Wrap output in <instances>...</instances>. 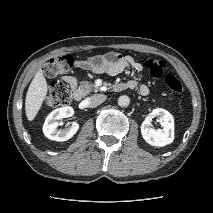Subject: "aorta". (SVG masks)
<instances>
[{
    "label": "aorta",
    "mask_w": 213,
    "mask_h": 213,
    "mask_svg": "<svg viewBox=\"0 0 213 213\" xmlns=\"http://www.w3.org/2000/svg\"><path fill=\"white\" fill-rule=\"evenodd\" d=\"M130 104V98L126 95H122L118 98V105L120 107H127Z\"/></svg>",
    "instance_id": "1"
}]
</instances>
